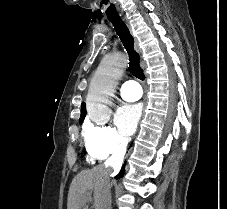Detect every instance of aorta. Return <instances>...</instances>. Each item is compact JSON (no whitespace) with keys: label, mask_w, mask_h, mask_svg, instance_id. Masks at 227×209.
<instances>
[{"label":"aorta","mask_w":227,"mask_h":209,"mask_svg":"<svg viewBox=\"0 0 227 209\" xmlns=\"http://www.w3.org/2000/svg\"><path fill=\"white\" fill-rule=\"evenodd\" d=\"M126 65L127 58L123 53L108 55L101 61L87 95V112L93 121H100L110 113L108 104Z\"/></svg>","instance_id":"aorta-1"}]
</instances>
